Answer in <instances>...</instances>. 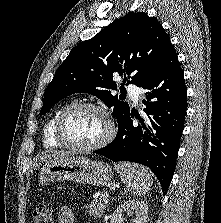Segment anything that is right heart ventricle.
<instances>
[{"label":"right heart ventricle","instance_id":"right-heart-ventricle-1","mask_svg":"<svg viewBox=\"0 0 221 223\" xmlns=\"http://www.w3.org/2000/svg\"><path fill=\"white\" fill-rule=\"evenodd\" d=\"M69 104H64L58 107L47 121L44 130H43V140L44 145L47 147H59L61 144L54 137V129L57 122V119L60 113L68 106Z\"/></svg>","mask_w":221,"mask_h":223}]
</instances>
